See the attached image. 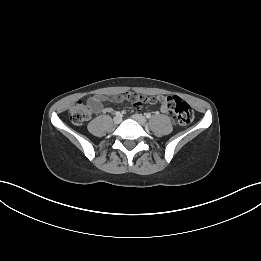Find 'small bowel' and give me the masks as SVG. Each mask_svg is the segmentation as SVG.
<instances>
[{
  "label": "small bowel",
  "instance_id": "obj_1",
  "mask_svg": "<svg viewBox=\"0 0 261 261\" xmlns=\"http://www.w3.org/2000/svg\"><path fill=\"white\" fill-rule=\"evenodd\" d=\"M122 102L125 101L130 103L133 107L140 106H156L158 104V99L156 97H149L147 95H142L139 92L135 91H125L123 94L117 93L113 97V95L108 94L106 97L95 95L88 99V106L95 113H107L110 112L111 109L104 106V102ZM161 111L163 113H167L166 107L162 104Z\"/></svg>",
  "mask_w": 261,
  "mask_h": 261
}]
</instances>
